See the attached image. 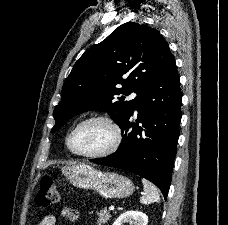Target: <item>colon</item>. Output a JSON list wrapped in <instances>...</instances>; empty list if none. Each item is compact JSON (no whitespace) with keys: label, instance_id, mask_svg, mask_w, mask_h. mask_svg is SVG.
Instances as JSON below:
<instances>
[{"label":"colon","instance_id":"5ec220e1","mask_svg":"<svg viewBox=\"0 0 228 225\" xmlns=\"http://www.w3.org/2000/svg\"><path fill=\"white\" fill-rule=\"evenodd\" d=\"M59 198V190L54 179L44 176L41 179L40 190L38 191L35 202L41 208H47Z\"/></svg>","mask_w":228,"mask_h":225}]
</instances>
